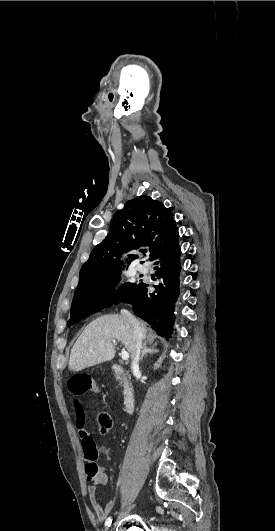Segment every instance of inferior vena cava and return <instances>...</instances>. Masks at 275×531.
<instances>
[{
	"instance_id": "obj_1",
	"label": "inferior vena cava",
	"mask_w": 275,
	"mask_h": 531,
	"mask_svg": "<svg viewBox=\"0 0 275 531\" xmlns=\"http://www.w3.org/2000/svg\"><path fill=\"white\" fill-rule=\"evenodd\" d=\"M123 317H127L129 323L133 327V345L134 351L131 357V369L132 371H138L139 369V357L142 349V329L140 327L139 321L130 315L128 311H121Z\"/></svg>"
}]
</instances>
